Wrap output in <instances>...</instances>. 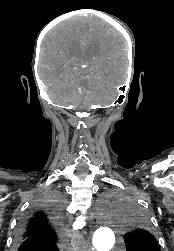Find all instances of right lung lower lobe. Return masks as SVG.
I'll list each match as a JSON object with an SVG mask.
<instances>
[{"instance_id":"1","label":"right lung lower lobe","mask_w":174,"mask_h":251,"mask_svg":"<svg viewBox=\"0 0 174 251\" xmlns=\"http://www.w3.org/2000/svg\"><path fill=\"white\" fill-rule=\"evenodd\" d=\"M15 247L18 251H27L28 249H31L33 247V245H31L29 242H25V241H16Z\"/></svg>"}]
</instances>
